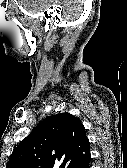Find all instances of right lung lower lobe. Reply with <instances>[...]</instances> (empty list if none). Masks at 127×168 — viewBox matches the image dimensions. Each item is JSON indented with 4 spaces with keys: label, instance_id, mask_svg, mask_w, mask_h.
<instances>
[{
    "label": "right lung lower lobe",
    "instance_id": "98d812e1",
    "mask_svg": "<svg viewBox=\"0 0 127 168\" xmlns=\"http://www.w3.org/2000/svg\"><path fill=\"white\" fill-rule=\"evenodd\" d=\"M89 162H90V157H88L85 161H83L81 164L76 166V168H89Z\"/></svg>",
    "mask_w": 127,
    "mask_h": 168
}]
</instances>
